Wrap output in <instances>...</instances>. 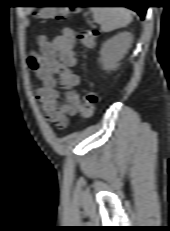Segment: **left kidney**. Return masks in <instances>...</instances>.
<instances>
[{
  "label": "left kidney",
  "instance_id": "5707ae66",
  "mask_svg": "<svg viewBox=\"0 0 170 231\" xmlns=\"http://www.w3.org/2000/svg\"><path fill=\"white\" fill-rule=\"evenodd\" d=\"M133 35L130 32H121L107 40L100 51L99 62L103 69L113 70L119 66V61L131 47Z\"/></svg>",
  "mask_w": 170,
  "mask_h": 231
}]
</instances>
